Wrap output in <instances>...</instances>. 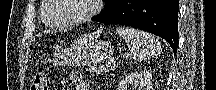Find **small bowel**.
I'll return each instance as SVG.
<instances>
[{
    "mask_svg": "<svg viewBox=\"0 0 216 90\" xmlns=\"http://www.w3.org/2000/svg\"><path fill=\"white\" fill-rule=\"evenodd\" d=\"M69 80L74 85L75 90H91L89 83L84 79L83 75L78 71H72L69 74Z\"/></svg>",
    "mask_w": 216,
    "mask_h": 90,
    "instance_id": "1",
    "label": "small bowel"
}]
</instances>
